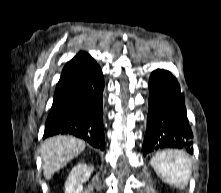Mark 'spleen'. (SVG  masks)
Wrapping results in <instances>:
<instances>
[{"label":"spleen","mask_w":221,"mask_h":193,"mask_svg":"<svg viewBox=\"0 0 221 193\" xmlns=\"http://www.w3.org/2000/svg\"><path fill=\"white\" fill-rule=\"evenodd\" d=\"M151 166L156 174L167 184L186 185L191 175L189 157L182 151L164 150L152 157Z\"/></svg>","instance_id":"3e777b00"}]
</instances>
